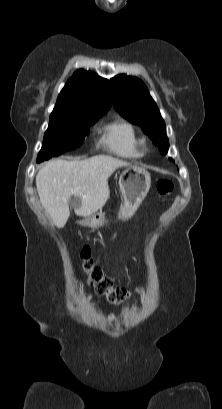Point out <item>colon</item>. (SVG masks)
Wrapping results in <instances>:
<instances>
[{
	"label": "colon",
	"instance_id": "obj_1",
	"mask_svg": "<svg viewBox=\"0 0 222 409\" xmlns=\"http://www.w3.org/2000/svg\"><path fill=\"white\" fill-rule=\"evenodd\" d=\"M156 188L161 196H168L172 193L174 186L170 180L160 179L156 184ZM80 260L82 271L87 276L88 282L95 292L106 297L111 304L121 305L128 297V291L115 286L112 280L104 275L101 268L95 265L88 247L81 249Z\"/></svg>",
	"mask_w": 222,
	"mask_h": 409
}]
</instances>
